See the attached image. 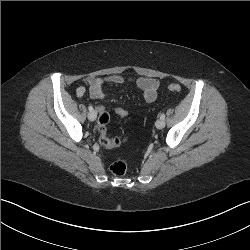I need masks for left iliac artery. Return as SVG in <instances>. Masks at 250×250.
I'll return each mask as SVG.
<instances>
[{"instance_id":"44dca946","label":"left iliac artery","mask_w":250,"mask_h":250,"mask_svg":"<svg viewBox=\"0 0 250 250\" xmlns=\"http://www.w3.org/2000/svg\"><path fill=\"white\" fill-rule=\"evenodd\" d=\"M160 118L164 120L165 119V115L161 114Z\"/></svg>"}]
</instances>
